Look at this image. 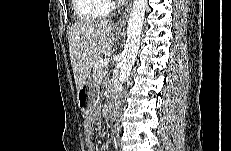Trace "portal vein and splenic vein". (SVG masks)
I'll return each instance as SVG.
<instances>
[{
  "label": "portal vein and splenic vein",
  "mask_w": 231,
  "mask_h": 151,
  "mask_svg": "<svg viewBox=\"0 0 231 151\" xmlns=\"http://www.w3.org/2000/svg\"><path fill=\"white\" fill-rule=\"evenodd\" d=\"M108 63H109V59H104L101 61V66L106 67L108 65Z\"/></svg>",
  "instance_id": "18ae733b"
}]
</instances>
